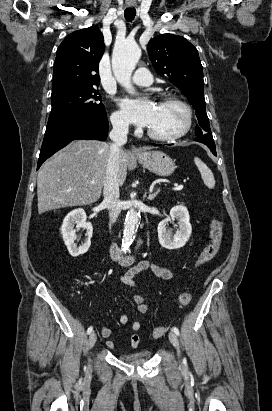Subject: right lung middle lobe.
Instances as JSON below:
<instances>
[{"label":"right lung middle lobe","instance_id":"1","mask_svg":"<svg viewBox=\"0 0 272 411\" xmlns=\"http://www.w3.org/2000/svg\"><path fill=\"white\" fill-rule=\"evenodd\" d=\"M51 105L47 127L78 116H107L97 87L71 89L51 96Z\"/></svg>","mask_w":272,"mask_h":411}]
</instances>
